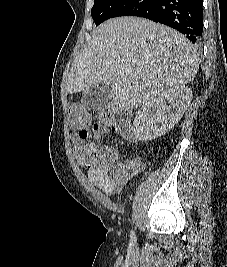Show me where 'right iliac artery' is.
<instances>
[{
	"label": "right iliac artery",
	"mask_w": 227,
	"mask_h": 267,
	"mask_svg": "<svg viewBox=\"0 0 227 267\" xmlns=\"http://www.w3.org/2000/svg\"><path fill=\"white\" fill-rule=\"evenodd\" d=\"M134 237H135L134 232L131 231V238H134Z\"/></svg>",
	"instance_id": "obj_1"
}]
</instances>
